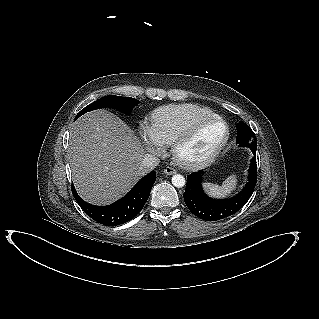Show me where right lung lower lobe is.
Here are the masks:
<instances>
[{"label": "right lung lower lobe", "instance_id": "98d812e1", "mask_svg": "<svg viewBox=\"0 0 319 319\" xmlns=\"http://www.w3.org/2000/svg\"><path fill=\"white\" fill-rule=\"evenodd\" d=\"M156 180V172L144 176L123 198L108 206H95L83 201L72 187L75 200L93 220L106 226H117L133 219L144 207Z\"/></svg>", "mask_w": 319, "mask_h": 319}]
</instances>
